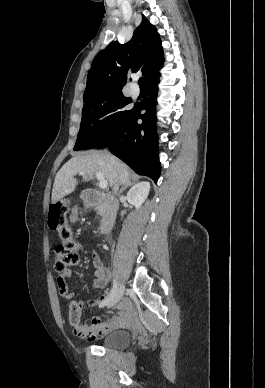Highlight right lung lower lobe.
<instances>
[{
    "label": "right lung lower lobe",
    "instance_id": "right-lung-lower-lobe-1",
    "mask_svg": "<svg viewBox=\"0 0 265 388\" xmlns=\"http://www.w3.org/2000/svg\"><path fill=\"white\" fill-rule=\"evenodd\" d=\"M160 75L148 81V97L136 104L114 140L110 151L136 173L146 175L157 183L160 175L158 141L156 137V105ZM145 110L144 113H141ZM142 119L138 124L137 120Z\"/></svg>",
    "mask_w": 265,
    "mask_h": 388
}]
</instances>
